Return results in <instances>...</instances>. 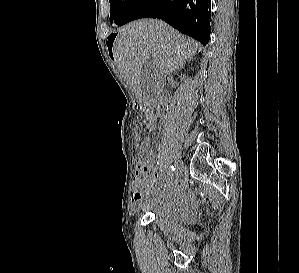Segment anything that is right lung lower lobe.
Returning <instances> with one entry per match:
<instances>
[{
  "label": "right lung lower lobe",
  "instance_id": "1",
  "mask_svg": "<svg viewBox=\"0 0 299 273\" xmlns=\"http://www.w3.org/2000/svg\"><path fill=\"white\" fill-rule=\"evenodd\" d=\"M211 0H135L122 18L124 25L139 18H159L206 45L210 39Z\"/></svg>",
  "mask_w": 299,
  "mask_h": 273
}]
</instances>
